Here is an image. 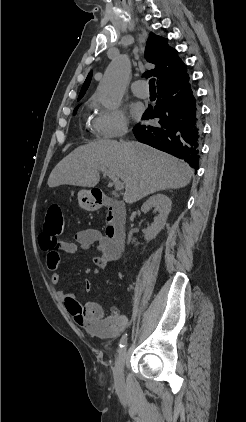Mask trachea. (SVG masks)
Here are the masks:
<instances>
[{
	"instance_id": "1",
	"label": "trachea",
	"mask_w": 246,
	"mask_h": 422,
	"mask_svg": "<svg viewBox=\"0 0 246 422\" xmlns=\"http://www.w3.org/2000/svg\"><path fill=\"white\" fill-rule=\"evenodd\" d=\"M149 89L150 90H155L156 89V87H155V79L154 78L150 79V81H149Z\"/></svg>"
}]
</instances>
